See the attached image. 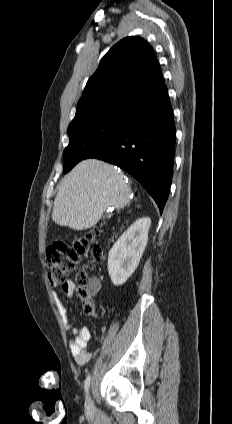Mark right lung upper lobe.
Instances as JSON below:
<instances>
[{"label": "right lung upper lobe", "instance_id": "obj_1", "mask_svg": "<svg viewBox=\"0 0 232 424\" xmlns=\"http://www.w3.org/2000/svg\"><path fill=\"white\" fill-rule=\"evenodd\" d=\"M163 85L153 48L140 37H127L102 58L85 86L76 113L103 104L133 105Z\"/></svg>", "mask_w": 232, "mask_h": 424}]
</instances>
